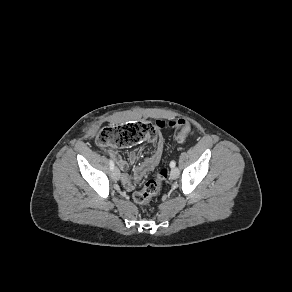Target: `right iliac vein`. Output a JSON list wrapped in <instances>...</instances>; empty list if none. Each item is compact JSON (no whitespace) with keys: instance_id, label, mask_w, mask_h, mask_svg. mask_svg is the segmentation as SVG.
Segmentation results:
<instances>
[{"instance_id":"right-iliac-vein-1","label":"right iliac vein","mask_w":292,"mask_h":292,"mask_svg":"<svg viewBox=\"0 0 292 292\" xmlns=\"http://www.w3.org/2000/svg\"><path fill=\"white\" fill-rule=\"evenodd\" d=\"M113 180L117 181L120 178V172L117 168L112 171Z\"/></svg>"}]
</instances>
